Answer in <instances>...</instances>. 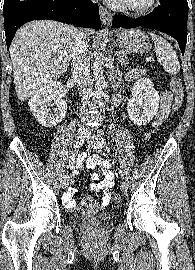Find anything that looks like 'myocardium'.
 Returning <instances> with one entry per match:
<instances>
[{
  "mask_svg": "<svg viewBox=\"0 0 195 270\" xmlns=\"http://www.w3.org/2000/svg\"><path fill=\"white\" fill-rule=\"evenodd\" d=\"M157 4V0H148L143 5H133L125 0H114V5L120 10L129 11L135 14H144L152 10Z\"/></svg>",
  "mask_w": 195,
  "mask_h": 270,
  "instance_id": "obj_1",
  "label": "myocardium"
}]
</instances>
